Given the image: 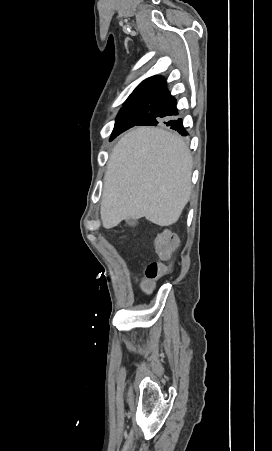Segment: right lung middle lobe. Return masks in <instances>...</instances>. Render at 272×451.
I'll list each match as a JSON object with an SVG mask.
<instances>
[{
	"mask_svg": "<svg viewBox=\"0 0 272 451\" xmlns=\"http://www.w3.org/2000/svg\"><path fill=\"white\" fill-rule=\"evenodd\" d=\"M153 98L127 100L120 110L111 139L140 121L150 110Z\"/></svg>",
	"mask_w": 272,
	"mask_h": 451,
	"instance_id": "obj_1",
	"label": "right lung middle lobe"
}]
</instances>
